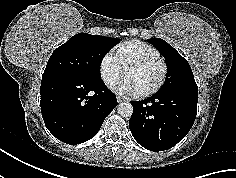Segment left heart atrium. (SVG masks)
<instances>
[{"mask_svg":"<svg viewBox=\"0 0 236 178\" xmlns=\"http://www.w3.org/2000/svg\"><path fill=\"white\" fill-rule=\"evenodd\" d=\"M113 90L120 95L139 94L134 85L126 78L117 83L115 86H113Z\"/></svg>","mask_w":236,"mask_h":178,"instance_id":"1","label":"left heart atrium"}]
</instances>
